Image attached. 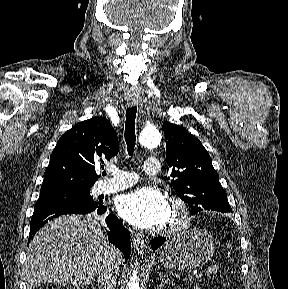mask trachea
I'll list each match as a JSON object with an SVG mask.
<instances>
[{
	"label": "trachea",
	"mask_w": 288,
	"mask_h": 289,
	"mask_svg": "<svg viewBox=\"0 0 288 289\" xmlns=\"http://www.w3.org/2000/svg\"><path fill=\"white\" fill-rule=\"evenodd\" d=\"M137 108L132 106L126 110V122H125V133L124 138L127 145V151L130 156L134 153L136 135H135V118H136ZM106 175V172H103Z\"/></svg>",
	"instance_id": "trachea-1"
}]
</instances>
